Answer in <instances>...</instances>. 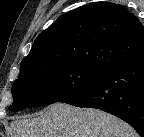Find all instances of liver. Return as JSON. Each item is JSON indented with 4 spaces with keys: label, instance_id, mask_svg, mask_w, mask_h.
<instances>
[{
    "label": "liver",
    "instance_id": "1",
    "mask_svg": "<svg viewBox=\"0 0 144 137\" xmlns=\"http://www.w3.org/2000/svg\"><path fill=\"white\" fill-rule=\"evenodd\" d=\"M10 137H138L121 119L94 108L54 103L41 113L11 122Z\"/></svg>",
    "mask_w": 144,
    "mask_h": 137
}]
</instances>
